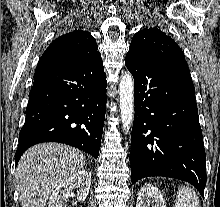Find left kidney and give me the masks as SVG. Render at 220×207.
<instances>
[{
	"instance_id": "obj_1",
	"label": "left kidney",
	"mask_w": 220,
	"mask_h": 207,
	"mask_svg": "<svg viewBox=\"0 0 220 207\" xmlns=\"http://www.w3.org/2000/svg\"><path fill=\"white\" fill-rule=\"evenodd\" d=\"M136 207H166L160 190L152 184L141 187L137 196Z\"/></svg>"
}]
</instances>
